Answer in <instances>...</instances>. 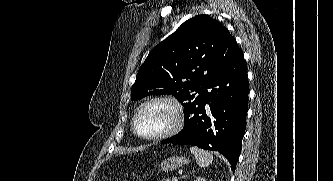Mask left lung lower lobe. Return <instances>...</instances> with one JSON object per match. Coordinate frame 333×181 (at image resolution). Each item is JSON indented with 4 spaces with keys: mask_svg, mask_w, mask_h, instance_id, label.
Wrapping results in <instances>:
<instances>
[{
    "mask_svg": "<svg viewBox=\"0 0 333 181\" xmlns=\"http://www.w3.org/2000/svg\"><path fill=\"white\" fill-rule=\"evenodd\" d=\"M210 112L207 114L205 105ZM248 110V78L239 50L204 87L199 103L185 113L184 128L162 144H189L224 155L235 171Z\"/></svg>",
    "mask_w": 333,
    "mask_h": 181,
    "instance_id": "0a47b994",
    "label": "left lung lower lobe"
}]
</instances>
